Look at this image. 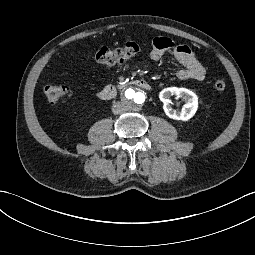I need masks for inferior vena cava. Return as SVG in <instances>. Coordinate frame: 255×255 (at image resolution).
<instances>
[{"label":"inferior vena cava","instance_id":"inferior-vena-cava-1","mask_svg":"<svg viewBox=\"0 0 255 255\" xmlns=\"http://www.w3.org/2000/svg\"><path fill=\"white\" fill-rule=\"evenodd\" d=\"M113 114H123L125 112V106L122 102H114L112 105Z\"/></svg>","mask_w":255,"mask_h":255}]
</instances>
